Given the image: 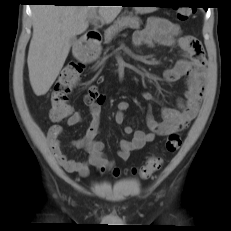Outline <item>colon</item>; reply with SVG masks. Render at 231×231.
<instances>
[{"instance_id":"obj_1","label":"colon","mask_w":231,"mask_h":231,"mask_svg":"<svg viewBox=\"0 0 231 231\" xmlns=\"http://www.w3.org/2000/svg\"><path fill=\"white\" fill-rule=\"evenodd\" d=\"M191 13L192 9L190 8L181 9L177 13V18L180 21H184L189 18ZM83 72L84 64L81 61L69 62L60 72L50 98L51 108L49 117L52 121H64L73 113L69 98L78 85ZM181 143V136L178 132L170 133L165 142L164 149L168 153H174L179 149ZM162 162L161 156L153 155L144 165L139 168H132L131 171L146 179L161 168ZM101 170H104V168H101ZM112 173L114 176H119L121 170L119 168H114Z\"/></svg>"}]
</instances>
